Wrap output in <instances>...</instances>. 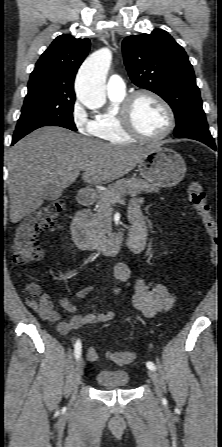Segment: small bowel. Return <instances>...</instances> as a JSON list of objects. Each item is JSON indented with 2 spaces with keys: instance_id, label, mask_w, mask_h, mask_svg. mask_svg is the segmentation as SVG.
<instances>
[{
  "instance_id": "small-bowel-1",
  "label": "small bowel",
  "mask_w": 222,
  "mask_h": 447,
  "mask_svg": "<svg viewBox=\"0 0 222 447\" xmlns=\"http://www.w3.org/2000/svg\"><path fill=\"white\" fill-rule=\"evenodd\" d=\"M143 203L144 200L141 197L131 200L128 212L129 220L132 223L139 222L140 224L139 234L135 237V241L141 245V251L144 250L146 243V226L141 214ZM113 273V291L117 294L119 292L118 284L130 278L131 269L125 263H118L114 266ZM95 290L96 285L90 283L80 288L75 296L78 299H88ZM130 301L136 310L140 311L145 317L151 318L158 312L170 310L175 302V297L166 285L141 277L135 282V290ZM58 305L65 312V318L55 309L54 302L48 293L41 294L36 302L27 301V306L43 320L57 323V330L61 334H66L86 325L110 322L116 317L114 312H99L94 306L87 313H78L76 306L67 297L60 298ZM87 358L91 361L97 359V354L92 348L87 350Z\"/></svg>"
}]
</instances>
